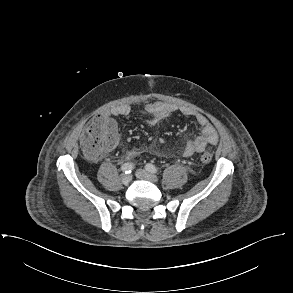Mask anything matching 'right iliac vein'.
<instances>
[{
	"mask_svg": "<svg viewBox=\"0 0 293 293\" xmlns=\"http://www.w3.org/2000/svg\"><path fill=\"white\" fill-rule=\"evenodd\" d=\"M132 180V176L129 174H122L121 175V182L123 184H128Z\"/></svg>",
	"mask_w": 293,
	"mask_h": 293,
	"instance_id": "right-iliac-vein-1",
	"label": "right iliac vein"
}]
</instances>
